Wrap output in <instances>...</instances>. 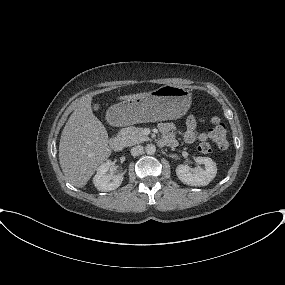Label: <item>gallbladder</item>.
Masks as SVG:
<instances>
[{"label": "gallbladder", "instance_id": "1", "mask_svg": "<svg viewBox=\"0 0 285 285\" xmlns=\"http://www.w3.org/2000/svg\"><path fill=\"white\" fill-rule=\"evenodd\" d=\"M93 109H94L95 111H98V110L100 109V105L97 104V103L94 104Z\"/></svg>", "mask_w": 285, "mask_h": 285}]
</instances>
